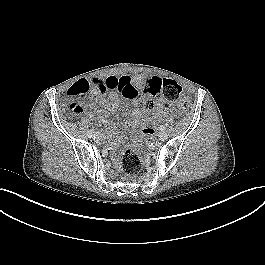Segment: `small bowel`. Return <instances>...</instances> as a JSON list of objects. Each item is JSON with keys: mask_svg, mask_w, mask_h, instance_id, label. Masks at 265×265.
<instances>
[{"mask_svg": "<svg viewBox=\"0 0 265 265\" xmlns=\"http://www.w3.org/2000/svg\"><path fill=\"white\" fill-rule=\"evenodd\" d=\"M155 79H162V77L154 75L150 77L131 78L130 76L110 75L104 78H93L91 81L95 86L93 98L109 114L116 113L121 104V98L128 99L135 107L129 125L136 127L144 120L140 102L145 97L155 96L151 88L152 82ZM104 91H110L108 99L105 98ZM159 107L161 111L164 110L161 101H159ZM81 112H83V107ZM101 120L105 122L106 115L102 116ZM147 130L150 132V129Z\"/></svg>", "mask_w": 265, "mask_h": 265, "instance_id": "small-bowel-1", "label": "small bowel"}]
</instances>
